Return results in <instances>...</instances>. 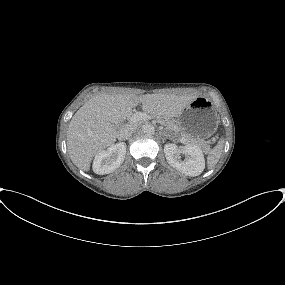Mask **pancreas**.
Returning <instances> with one entry per match:
<instances>
[{
	"label": "pancreas",
	"mask_w": 285,
	"mask_h": 285,
	"mask_svg": "<svg viewBox=\"0 0 285 285\" xmlns=\"http://www.w3.org/2000/svg\"><path fill=\"white\" fill-rule=\"evenodd\" d=\"M166 129L169 133H177L180 131L179 126L174 121H166ZM179 136V135H178ZM184 140L190 144H194L204 150L207 153L210 150V146L203 139H196L184 134Z\"/></svg>",
	"instance_id": "obj_1"
}]
</instances>
